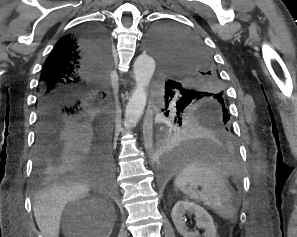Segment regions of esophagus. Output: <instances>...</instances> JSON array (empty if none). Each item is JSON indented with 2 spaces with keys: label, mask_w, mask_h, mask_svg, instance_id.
<instances>
[{
  "label": "esophagus",
  "mask_w": 297,
  "mask_h": 237,
  "mask_svg": "<svg viewBox=\"0 0 297 237\" xmlns=\"http://www.w3.org/2000/svg\"><path fill=\"white\" fill-rule=\"evenodd\" d=\"M143 142L145 149L147 151H151L153 145V137H152V112L147 110L144 121H143Z\"/></svg>",
  "instance_id": "esophagus-1"
}]
</instances>
